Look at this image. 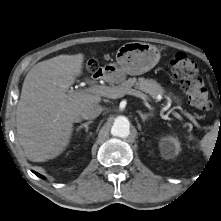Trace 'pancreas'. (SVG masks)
Returning a JSON list of instances; mask_svg holds the SVG:
<instances>
[{"label": "pancreas", "instance_id": "obj_1", "mask_svg": "<svg viewBox=\"0 0 221 221\" xmlns=\"http://www.w3.org/2000/svg\"><path fill=\"white\" fill-rule=\"evenodd\" d=\"M132 87L149 94L154 99H156L158 95H162L164 93V90L159 83L152 79H145L144 77H140L138 79L135 77L129 78L128 80H124L120 85H113L111 88L119 92L130 90Z\"/></svg>", "mask_w": 221, "mask_h": 221}]
</instances>
